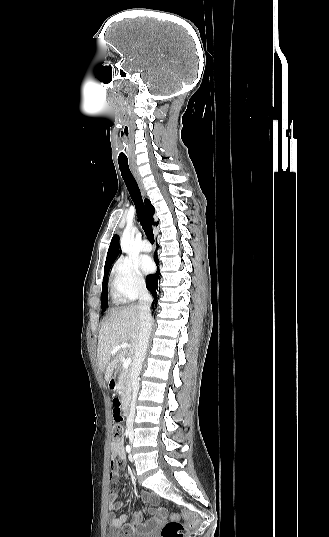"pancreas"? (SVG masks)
Segmentation results:
<instances>
[{
	"label": "pancreas",
	"instance_id": "1",
	"mask_svg": "<svg viewBox=\"0 0 329 537\" xmlns=\"http://www.w3.org/2000/svg\"><path fill=\"white\" fill-rule=\"evenodd\" d=\"M117 389L121 393V396L125 402H129L131 397V381H130V375L129 371L126 369H123L120 372L118 383H117Z\"/></svg>",
	"mask_w": 329,
	"mask_h": 537
}]
</instances>
